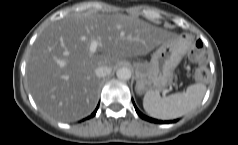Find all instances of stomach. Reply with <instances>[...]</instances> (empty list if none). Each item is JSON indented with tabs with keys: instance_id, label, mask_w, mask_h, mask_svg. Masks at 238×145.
Segmentation results:
<instances>
[{
	"instance_id": "1",
	"label": "stomach",
	"mask_w": 238,
	"mask_h": 145,
	"mask_svg": "<svg viewBox=\"0 0 238 145\" xmlns=\"http://www.w3.org/2000/svg\"><path fill=\"white\" fill-rule=\"evenodd\" d=\"M194 40L192 34L181 33L176 39L161 42L152 54L150 62H138L136 92L138 94L148 91L159 92L170 86L175 68L181 59L190 55Z\"/></svg>"
}]
</instances>
